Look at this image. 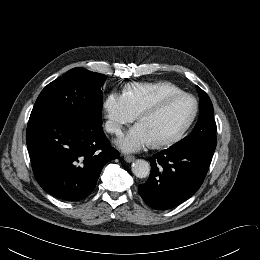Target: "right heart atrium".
<instances>
[{
  "mask_svg": "<svg viewBox=\"0 0 260 260\" xmlns=\"http://www.w3.org/2000/svg\"><path fill=\"white\" fill-rule=\"evenodd\" d=\"M103 110L106 118V129L115 135L121 134L124 127L136 118L123 94L117 92H111L106 97Z\"/></svg>",
  "mask_w": 260,
  "mask_h": 260,
  "instance_id": "right-heart-atrium-1",
  "label": "right heart atrium"
}]
</instances>
